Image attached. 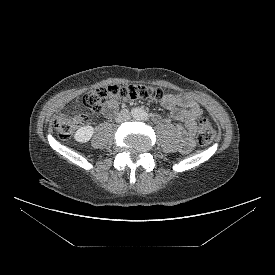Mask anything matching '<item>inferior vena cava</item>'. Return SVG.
I'll list each match as a JSON object with an SVG mask.
<instances>
[{"label":"inferior vena cava","instance_id":"602c4592","mask_svg":"<svg viewBox=\"0 0 275 275\" xmlns=\"http://www.w3.org/2000/svg\"><path fill=\"white\" fill-rule=\"evenodd\" d=\"M130 112L127 109L122 110L115 118L116 122L122 123L130 120Z\"/></svg>","mask_w":275,"mask_h":275}]
</instances>
